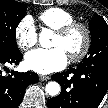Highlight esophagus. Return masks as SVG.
<instances>
[{
    "mask_svg": "<svg viewBox=\"0 0 108 108\" xmlns=\"http://www.w3.org/2000/svg\"><path fill=\"white\" fill-rule=\"evenodd\" d=\"M39 79H40V81H48L50 79V77L47 75H40Z\"/></svg>",
    "mask_w": 108,
    "mask_h": 108,
    "instance_id": "34e87169",
    "label": "esophagus"
}]
</instances>
